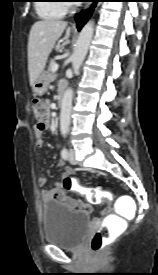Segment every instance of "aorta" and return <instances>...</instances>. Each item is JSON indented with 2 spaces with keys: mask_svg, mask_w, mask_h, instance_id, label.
Masks as SVG:
<instances>
[{
  "mask_svg": "<svg viewBox=\"0 0 158 275\" xmlns=\"http://www.w3.org/2000/svg\"><path fill=\"white\" fill-rule=\"evenodd\" d=\"M94 22L89 21L81 30L75 50L71 56L72 67L74 72L78 71L83 63V60L87 54L90 42L93 37ZM73 90L67 89L64 93L61 102V114H60V130L62 133H67L70 125V115L72 108Z\"/></svg>",
  "mask_w": 158,
  "mask_h": 275,
  "instance_id": "1",
  "label": "aorta"
}]
</instances>
